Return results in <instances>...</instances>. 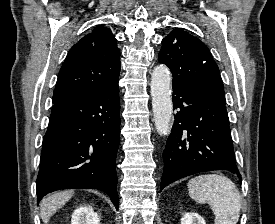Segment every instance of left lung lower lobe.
<instances>
[{
	"instance_id": "0a47b994",
	"label": "left lung lower lobe",
	"mask_w": 275,
	"mask_h": 224,
	"mask_svg": "<svg viewBox=\"0 0 275 224\" xmlns=\"http://www.w3.org/2000/svg\"><path fill=\"white\" fill-rule=\"evenodd\" d=\"M225 104L197 89L173 86V108L178 111L163 153L160 190L180 178L211 170H228L242 182Z\"/></svg>"
}]
</instances>
